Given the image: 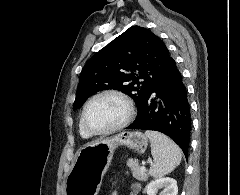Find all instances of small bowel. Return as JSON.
<instances>
[{"label":"small bowel","instance_id":"small-bowel-1","mask_svg":"<svg viewBox=\"0 0 240 195\" xmlns=\"http://www.w3.org/2000/svg\"><path fill=\"white\" fill-rule=\"evenodd\" d=\"M140 190H141L140 185L139 184H134L128 195H139Z\"/></svg>","mask_w":240,"mask_h":195}]
</instances>
